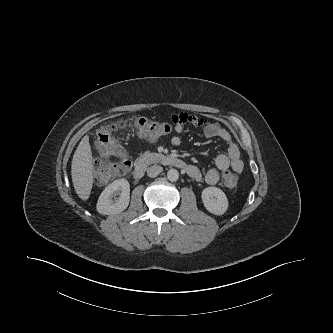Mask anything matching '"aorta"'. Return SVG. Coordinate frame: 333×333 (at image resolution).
<instances>
[{
  "instance_id": "obj_1",
  "label": "aorta",
  "mask_w": 333,
  "mask_h": 333,
  "mask_svg": "<svg viewBox=\"0 0 333 333\" xmlns=\"http://www.w3.org/2000/svg\"><path fill=\"white\" fill-rule=\"evenodd\" d=\"M167 178L171 182H175L179 179V172L176 169H170L167 172Z\"/></svg>"
}]
</instances>
